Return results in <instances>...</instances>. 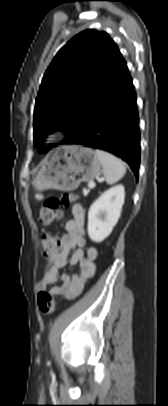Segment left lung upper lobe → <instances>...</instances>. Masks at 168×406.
<instances>
[{
	"instance_id": "5c2ea615",
	"label": "left lung upper lobe",
	"mask_w": 168,
	"mask_h": 406,
	"mask_svg": "<svg viewBox=\"0 0 168 406\" xmlns=\"http://www.w3.org/2000/svg\"><path fill=\"white\" fill-rule=\"evenodd\" d=\"M122 59L109 35L94 29L79 33L60 49L44 74L36 99L35 147L55 130L67 134L64 142L79 133Z\"/></svg>"
}]
</instances>
